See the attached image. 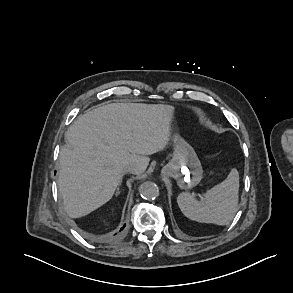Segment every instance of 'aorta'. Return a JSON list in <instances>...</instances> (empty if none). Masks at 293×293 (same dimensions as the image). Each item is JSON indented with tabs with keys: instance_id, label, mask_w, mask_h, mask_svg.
Returning a JSON list of instances; mask_svg holds the SVG:
<instances>
[{
	"instance_id": "762f6f07",
	"label": "aorta",
	"mask_w": 293,
	"mask_h": 293,
	"mask_svg": "<svg viewBox=\"0 0 293 293\" xmlns=\"http://www.w3.org/2000/svg\"><path fill=\"white\" fill-rule=\"evenodd\" d=\"M139 193L145 200H153L159 195V190L154 182L146 181L139 186Z\"/></svg>"
}]
</instances>
